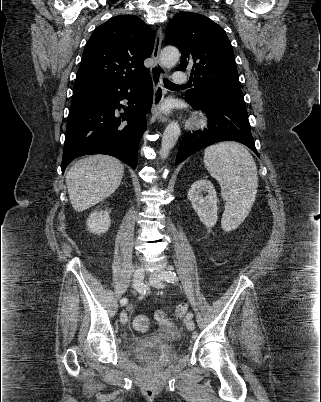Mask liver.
<instances>
[{"mask_svg":"<svg viewBox=\"0 0 321 402\" xmlns=\"http://www.w3.org/2000/svg\"><path fill=\"white\" fill-rule=\"evenodd\" d=\"M124 173L122 163L107 155L78 160L66 174L71 205L82 212L103 201L119 187Z\"/></svg>","mask_w":321,"mask_h":402,"instance_id":"obj_1","label":"liver"}]
</instances>
